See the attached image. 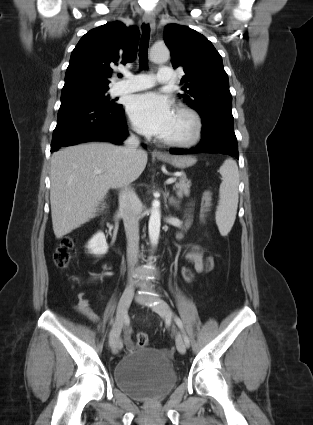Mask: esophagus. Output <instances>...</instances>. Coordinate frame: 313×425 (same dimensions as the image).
Here are the masks:
<instances>
[{"mask_svg": "<svg viewBox=\"0 0 313 425\" xmlns=\"http://www.w3.org/2000/svg\"><path fill=\"white\" fill-rule=\"evenodd\" d=\"M143 21H144L146 24H149L152 30H154V29H155V17H154V14H152V13H150V12L145 13V14H144V16H143ZM152 154H153L154 156H156V157H164V156H165V154H163V152L158 151V150H154V151L152 152Z\"/></svg>", "mask_w": 313, "mask_h": 425, "instance_id": "obj_1", "label": "esophagus"}]
</instances>
